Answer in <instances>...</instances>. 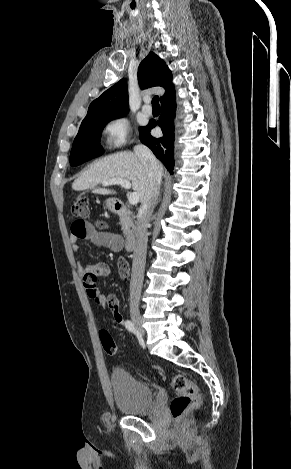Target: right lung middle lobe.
Here are the masks:
<instances>
[{
    "mask_svg": "<svg viewBox=\"0 0 291 469\" xmlns=\"http://www.w3.org/2000/svg\"><path fill=\"white\" fill-rule=\"evenodd\" d=\"M123 115L124 114L83 120L79 132L73 142L70 154V165L77 166L102 155L103 149L100 145V136L103 128L109 121Z\"/></svg>",
    "mask_w": 291,
    "mask_h": 469,
    "instance_id": "right-lung-middle-lobe-1",
    "label": "right lung middle lobe"
}]
</instances>
